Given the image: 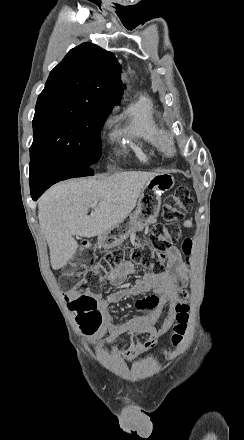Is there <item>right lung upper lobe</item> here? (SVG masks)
Listing matches in <instances>:
<instances>
[{
  "label": "right lung upper lobe",
  "instance_id": "cb5924a9",
  "mask_svg": "<svg viewBox=\"0 0 244 440\" xmlns=\"http://www.w3.org/2000/svg\"><path fill=\"white\" fill-rule=\"evenodd\" d=\"M120 75L113 53L83 43L51 71L37 102H83L111 110L120 100Z\"/></svg>",
  "mask_w": 244,
  "mask_h": 440
}]
</instances>
